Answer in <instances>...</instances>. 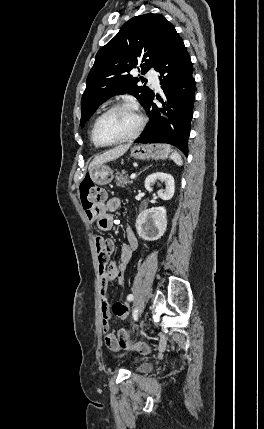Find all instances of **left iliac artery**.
I'll return each mask as SVG.
<instances>
[{
    "instance_id": "obj_1",
    "label": "left iliac artery",
    "mask_w": 264,
    "mask_h": 429,
    "mask_svg": "<svg viewBox=\"0 0 264 429\" xmlns=\"http://www.w3.org/2000/svg\"><path fill=\"white\" fill-rule=\"evenodd\" d=\"M134 299V296L132 295V294H129L128 296H127V300L128 301H132Z\"/></svg>"
}]
</instances>
